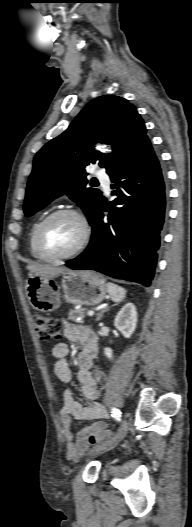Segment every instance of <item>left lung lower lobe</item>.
Instances as JSON below:
<instances>
[{
  "label": "left lung lower lobe",
  "instance_id": "obj_1",
  "mask_svg": "<svg viewBox=\"0 0 192 527\" xmlns=\"http://www.w3.org/2000/svg\"><path fill=\"white\" fill-rule=\"evenodd\" d=\"M110 210L100 205L85 251L66 262L72 269H93L108 276L150 286L165 217V175L148 140L124 167L110 176ZM108 211V223L103 221Z\"/></svg>",
  "mask_w": 192,
  "mask_h": 527
}]
</instances>
